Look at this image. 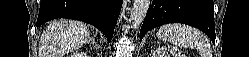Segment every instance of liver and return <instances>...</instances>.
<instances>
[{
    "mask_svg": "<svg viewBox=\"0 0 249 57\" xmlns=\"http://www.w3.org/2000/svg\"><path fill=\"white\" fill-rule=\"evenodd\" d=\"M90 32L79 21L60 20L51 23L40 39V57H63L87 43Z\"/></svg>",
    "mask_w": 249,
    "mask_h": 57,
    "instance_id": "6515ba94",
    "label": "liver"
}]
</instances>
